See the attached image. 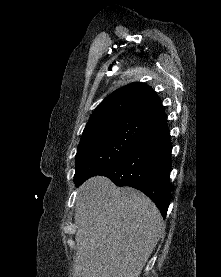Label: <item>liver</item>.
<instances>
[{"label":"liver","instance_id":"obj_1","mask_svg":"<svg viewBox=\"0 0 221 277\" xmlns=\"http://www.w3.org/2000/svg\"><path fill=\"white\" fill-rule=\"evenodd\" d=\"M75 222L73 277H139L165 229L147 196L104 176L78 188Z\"/></svg>","mask_w":221,"mask_h":277}]
</instances>
